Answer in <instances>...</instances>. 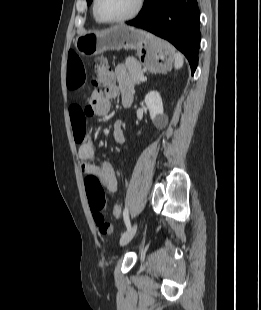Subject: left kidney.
Segmentation results:
<instances>
[{
	"label": "left kidney",
	"instance_id": "5707ae66",
	"mask_svg": "<svg viewBox=\"0 0 261 310\" xmlns=\"http://www.w3.org/2000/svg\"><path fill=\"white\" fill-rule=\"evenodd\" d=\"M145 104L147 105L150 117L156 127H162L166 123L164 115L163 102L157 91H150L145 96Z\"/></svg>",
	"mask_w": 261,
	"mask_h": 310
}]
</instances>
